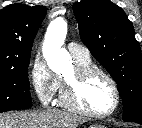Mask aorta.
I'll list each match as a JSON object with an SVG mask.
<instances>
[{"label": "aorta", "instance_id": "obj_1", "mask_svg": "<svg viewBox=\"0 0 142 128\" xmlns=\"http://www.w3.org/2000/svg\"><path fill=\"white\" fill-rule=\"evenodd\" d=\"M66 35L67 23L62 17L54 19L45 34L43 55L55 73H61L72 67L70 54L62 48Z\"/></svg>", "mask_w": 142, "mask_h": 128}]
</instances>
